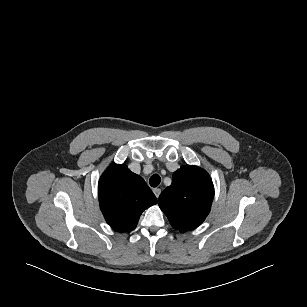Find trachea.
I'll return each mask as SVG.
<instances>
[{"mask_svg": "<svg viewBox=\"0 0 307 307\" xmlns=\"http://www.w3.org/2000/svg\"><path fill=\"white\" fill-rule=\"evenodd\" d=\"M161 182V178L158 174H154L150 177L149 183L152 187H157Z\"/></svg>", "mask_w": 307, "mask_h": 307, "instance_id": "3493384b", "label": "trachea"}]
</instances>
